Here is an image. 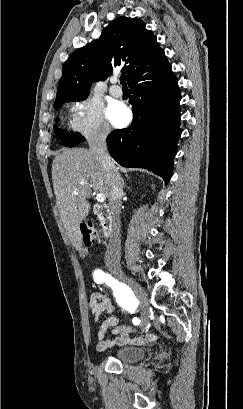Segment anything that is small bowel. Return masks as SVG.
Listing matches in <instances>:
<instances>
[{
	"mask_svg": "<svg viewBox=\"0 0 243 409\" xmlns=\"http://www.w3.org/2000/svg\"><path fill=\"white\" fill-rule=\"evenodd\" d=\"M89 308L94 315L95 321L99 319L103 312H107L110 315V317L100 324L97 331V349L99 351H105L114 346H124L128 344L138 346L150 345L154 344L159 338L153 331L130 338L129 334L137 330L131 326L119 324L118 319L114 316L115 307L112 298L107 293L100 291L94 292L89 299ZM109 329H112L114 336L105 338Z\"/></svg>",
	"mask_w": 243,
	"mask_h": 409,
	"instance_id": "1",
	"label": "small bowel"
}]
</instances>
